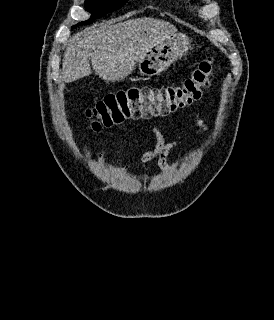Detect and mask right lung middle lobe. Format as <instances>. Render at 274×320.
Here are the masks:
<instances>
[{
	"mask_svg": "<svg viewBox=\"0 0 274 320\" xmlns=\"http://www.w3.org/2000/svg\"><path fill=\"white\" fill-rule=\"evenodd\" d=\"M128 0H86L85 9L91 12L92 17L85 22L72 26V29L79 25H86L93 22L95 18L101 17L106 13L113 12L121 8Z\"/></svg>",
	"mask_w": 274,
	"mask_h": 320,
	"instance_id": "right-lung-middle-lobe-1",
	"label": "right lung middle lobe"
}]
</instances>
